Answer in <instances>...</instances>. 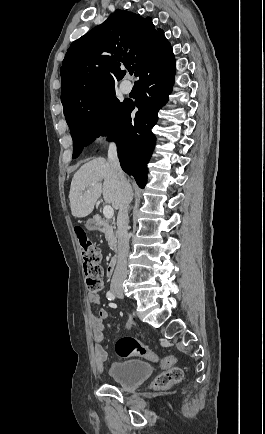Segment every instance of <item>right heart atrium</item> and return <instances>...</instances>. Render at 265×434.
I'll return each mask as SVG.
<instances>
[{
	"mask_svg": "<svg viewBox=\"0 0 265 434\" xmlns=\"http://www.w3.org/2000/svg\"><path fill=\"white\" fill-rule=\"evenodd\" d=\"M94 120L96 124L100 125H97L94 128L95 132H92L90 135L91 140L100 141L99 145L101 147H106L107 145H109L110 147H116L118 145V142L116 140H110L109 142L103 140L104 137L108 138V135L104 136V134H106L108 131H112L115 129V124L112 122H106L107 119L105 115H96Z\"/></svg>",
	"mask_w": 265,
	"mask_h": 434,
	"instance_id": "1",
	"label": "right heart atrium"
}]
</instances>
